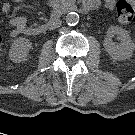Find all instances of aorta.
Instances as JSON below:
<instances>
[{
  "label": "aorta",
  "instance_id": "762f6f07",
  "mask_svg": "<svg viewBox=\"0 0 135 135\" xmlns=\"http://www.w3.org/2000/svg\"><path fill=\"white\" fill-rule=\"evenodd\" d=\"M65 20L70 26L77 25L79 22V15L76 12H70L66 15Z\"/></svg>",
  "mask_w": 135,
  "mask_h": 135
}]
</instances>
